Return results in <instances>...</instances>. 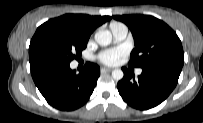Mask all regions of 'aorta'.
<instances>
[{
    "label": "aorta",
    "mask_w": 203,
    "mask_h": 123,
    "mask_svg": "<svg viewBox=\"0 0 203 123\" xmlns=\"http://www.w3.org/2000/svg\"><path fill=\"white\" fill-rule=\"evenodd\" d=\"M95 41L100 45V46H108L111 41H112V34L108 30H100L95 33ZM124 73L121 69H114L112 71V77L116 80L119 81L123 78Z\"/></svg>",
    "instance_id": "obj_1"
}]
</instances>
